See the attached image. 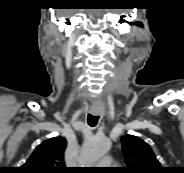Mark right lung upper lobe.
<instances>
[{
    "instance_id": "obj_1",
    "label": "right lung upper lobe",
    "mask_w": 184,
    "mask_h": 173,
    "mask_svg": "<svg viewBox=\"0 0 184 173\" xmlns=\"http://www.w3.org/2000/svg\"><path fill=\"white\" fill-rule=\"evenodd\" d=\"M66 139L54 137L41 143L27 162L20 167L21 173H67L64 165Z\"/></svg>"
}]
</instances>
